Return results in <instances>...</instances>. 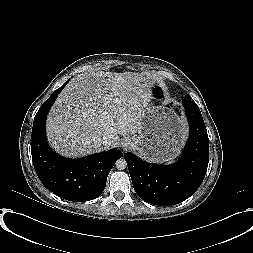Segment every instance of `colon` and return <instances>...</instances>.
I'll list each match as a JSON object with an SVG mask.
<instances>
[{
  "label": "colon",
  "instance_id": "5ec220e1",
  "mask_svg": "<svg viewBox=\"0 0 253 253\" xmlns=\"http://www.w3.org/2000/svg\"><path fill=\"white\" fill-rule=\"evenodd\" d=\"M148 93L153 100L159 101L166 96L167 90L162 83L156 82L149 87Z\"/></svg>",
  "mask_w": 253,
  "mask_h": 253
}]
</instances>
